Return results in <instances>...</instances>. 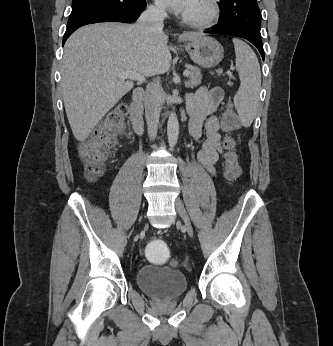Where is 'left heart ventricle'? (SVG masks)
Here are the masks:
<instances>
[{
	"mask_svg": "<svg viewBox=\"0 0 333 346\" xmlns=\"http://www.w3.org/2000/svg\"><path fill=\"white\" fill-rule=\"evenodd\" d=\"M206 11L207 7L203 0H194L186 14L202 16Z\"/></svg>",
	"mask_w": 333,
	"mask_h": 346,
	"instance_id": "1",
	"label": "left heart ventricle"
}]
</instances>
